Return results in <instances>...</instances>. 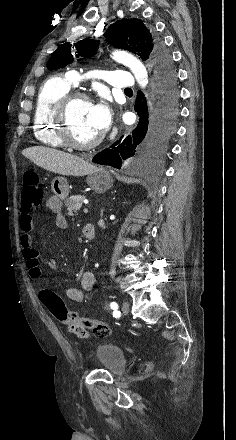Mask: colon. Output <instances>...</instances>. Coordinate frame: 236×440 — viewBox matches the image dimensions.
Wrapping results in <instances>:
<instances>
[{"label":"colon","instance_id":"obj_1","mask_svg":"<svg viewBox=\"0 0 236 440\" xmlns=\"http://www.w3.org/2000/svg\"><path fill=\"white\" fill-rule=\"evenodd\" d=\"M43 190L38 174L34 170L25 171L22 179L21 210L24 214H30L39 208L43 202ZM40 297L53 317L62 324L70 327L71 324H84L85 336L92 331L98 337H106L110 334L108 325L101 321L85 318L76 312L69 311L64 301L52 290L43 289ZM149 365L143 367L146 371Z\"/></svg>","mask_w":236,"mask_h":440}]
</instances>
